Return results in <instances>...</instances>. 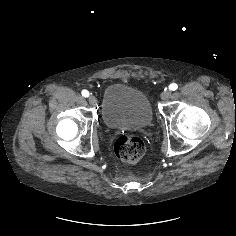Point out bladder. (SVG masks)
<instances>
[{"mask_svg":"<svg viewBox=\"0 0 236 236\" xmlns=\"http://www.w3.org/2000/svg\"><path fill=\"white\" fill-rule=\"evenodd\" d=\"M101 114L110 129H138L153 119L149 97L141 90L121 83L108 85L102 96Z\"/></svg>","mask_w":236,"mask_h":236,"instance_id":"obj_1","label":"bladder"}]
</instances>
